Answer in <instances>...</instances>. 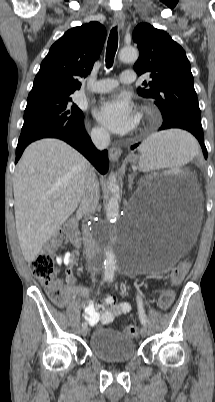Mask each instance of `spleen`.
<instances>
[{
	"label": "spleen",
	"instance_id": "spleen-1",
	"mask_svg": "<svg viewBox=\"0 0 215 402\" xmlns=\"http://www.w3.org/2000/svg\"><path fill=\"white\" fill-rule=\"evenodd\" d=\"M139 150L142 152L140 168L154 170L187 163L196 153V143L189 128H170L148 138Z\"/></svg>",
	"mask_w": 215,
	"mask_h": 402
}]
</instances>
